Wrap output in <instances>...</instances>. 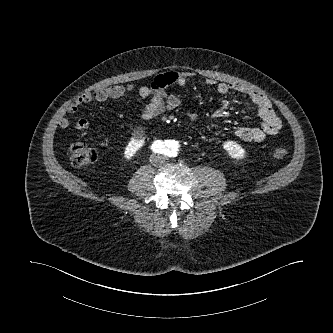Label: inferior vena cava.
Returning a JSON list of instances; mask_svg holds the SVG:
<instances>
[{"label": "inferior vena cava", "mask_w": 333, "mask_h": 333, "mask_svg": "<svg viewBox=\"0 0 333 333\" xmlns=\"http://www.w3.org/2000/svg\"><path fill=\"white\" fill-rule=\"evenodd\" d=\"M161 155H159V154H153L152 156H151V158H150V163L152 164V165H158V164H160V162H161Z\"/></svg>", "instance_id": "inferior-vena-cava-1"}]
</instances>
